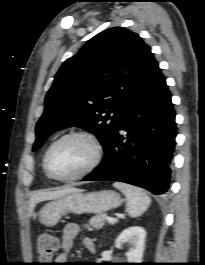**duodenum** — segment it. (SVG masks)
I'll return each mask as SVG.
<instances>
[{"mask_svg": "<svg viewBox=\"0 0 205 265\" xmlns=\"http://www.w3.org/2000/svg\"><path fill=\"white\" fill-rule=\"evenodd\" d=\"M90 251H91V252H94V249H93V248H90Z\"/></svg>", "mask_w": 205, "mask_h": 265, "instance_id": "410a0bca", "label": "duodenum"}]
</instances>
